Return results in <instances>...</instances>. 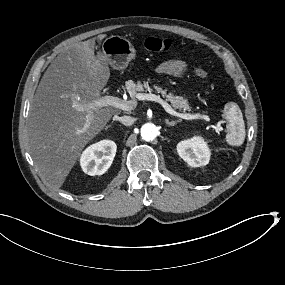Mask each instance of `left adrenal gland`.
<instances>
[{
	"label": "left adrenal gland",
	"instance_id": "obj_1",
	"mask_svg": "<svg viewBox=\"0 0 285 285\" xmlns=\"http://www.w3.org/2000/svg\"><path fill=\"white\" fill-rule=\"evenodd\" d=\"M166 124L168 126H174L176 125L177 123L181 122V119L177 120V121H169L168 119L165 120Z\"/></svg>",
	"mask_w": 285,
	"mask_h": 285
}]
</instances>
